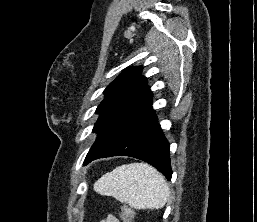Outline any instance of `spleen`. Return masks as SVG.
<instances>
[{
	"label": "spleen",
	"mask_w": 257,
	"mask_h": 222,
	"mask_svg": "<svg viewBox=\"0 0 257 222\" xmlns=\"http://www.w3.org/2000/svg\"><path fill=\"white\" fill-rule=\"evenodd\" d=\"M100 195L112 196L136 210L160 209L169 198L164 177L146 163H131L116 167L94 184Z\"/></svg>",
	"instance_id": "spleen-1"
}]
</instances>
